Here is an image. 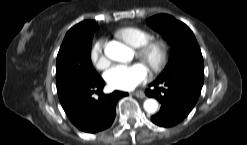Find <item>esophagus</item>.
Listing matches in <instances>:
<instances>
[{"instance_id": "1", "label": "esophagus", "mask_w": 247, "mask_h": 145, "mask_svg": "<svg viewBox=\"0 0 247 145\" xmlns=\"http://www.w3.org/2000/svg\"><path fill=\"white\" fill-rule=\"evenodd\" d=\"M133 95L134 96H136L137 98H140V99H143V98H145L146 96H145V93L143 92V91H135L134 93H133Z\"/></svg>"}]
</instances>
